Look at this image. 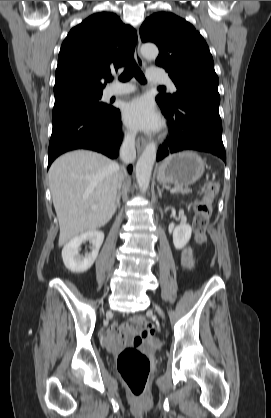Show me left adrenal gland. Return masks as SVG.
<instances>
[{"label":"left adrenal gland","mask_w":271,"mask_h":418,"mask_svg":"<svg viewBox=\"0 0 271 418\" xmlns=\"http://www.w3.org/2000/svg\"><path fill=\"white\" fill-rule=\"evenodd\" d=\"M157 190H158V194H159V197L160 198H162V189H160V187L159 186H157Z\"/></svg>","instance_id":"1"}]
</instances>
